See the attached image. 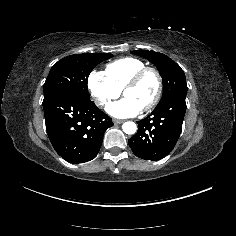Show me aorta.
Returning a JSON list of instances; mask_svg holds the SVG:
<instances>
[{"mask_svg":"<svg viewBox=\"0 0 236 236\" xmlns=\"http://www.w3.org/2000/svg\"><path fill=\"white\" fill-rule=\"evenodd\" d=\"M122 129L126 134H134L137 127L133 121H127L122 124Z\"/></svg>","mask_w":236,"mask_h":236,"instance_id":"aorta-1","label":"aorta"}]
</instances>
